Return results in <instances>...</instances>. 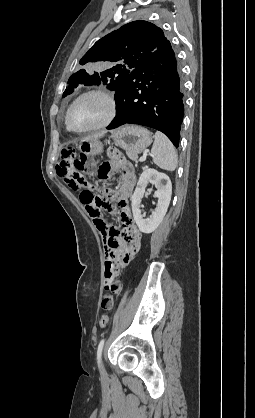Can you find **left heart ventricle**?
<instances>
[{
    "label": "left heart ventricle",
    "mask_w": 255,
    "mask_h": 418,
    "mask_svg": "<svg viewBox=\"0 0 255 418\" xmlns=\"http://www.w3.org/2000/svg\"><path fill=\"white\" fill-rule=\"evenodd\" d=\"M108 104L99 95H89L79 100L70 112V125L85 129L100 123L106 116Z\"/></svg>",
    "instance_id": "obj_1"
}]
</instances>
